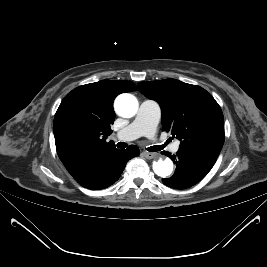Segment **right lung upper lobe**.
<instances>
[{
    "label": "right lung upper lobe",
    "instance_id": "cb5924a9",
    "mask_svg": "<svg viewBox=\"0 0 267 267\" xmlns=\"http://www.w3.org/2000/svg\"><path fill=\"white\" fill-rule=\"evenodd\" d=\"M125 80H102L79 86L62 100L54 118L53 131L58 156L68 172L91 155L115 146L106 142L115 119L113 101L117 95L136 91Z\"/></svg>",
    "mask_w": 267,
    "mask_h": 267
}]
</instances>
